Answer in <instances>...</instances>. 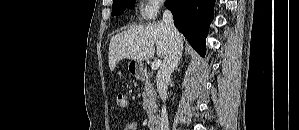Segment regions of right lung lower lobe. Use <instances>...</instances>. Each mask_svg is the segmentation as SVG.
Returning <instances> with one entry per match:
<instances>
[{"label":"right lung lower lobe","mask_w":299,"mask_h":130,"mask_svg":"<svg viewBox=\"0 0 299 130\" xmlns=\"http://www.w3.org/2000/svg\"><path fill=\"white\" fill-rule=\"evenodd\" d=\"M215 0H167L166 7L172 12L175 26L190 45L205 55V39L213 19Z\"/></svg>","instance_id":"1"}]
</instances>
